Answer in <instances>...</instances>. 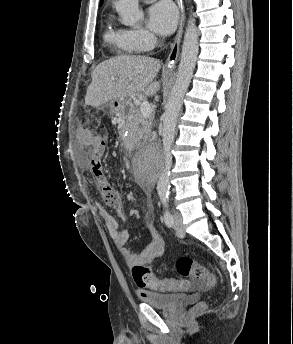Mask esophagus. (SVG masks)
I'll return each mask as SVG.
<instances>
[{
  "instance_id": "34e87169",
  "label": "esophagus",
  "mask_w": 293,
  "mask_h": 344,
  "mask_svg": "<svg viewBox=\"0 0 293 344\" xmlns=\"http://www.w3.org/2000/svg\"><path fill=\"white\" fill-rule=\"evenodd\" d=\"M176 2L178 5V12H179V26H178V30H177V34L175 36L174 42L171 46V51L166 61L167 67L174 66L178 61L180 41H181L182 31H183V21H184L183 2L182 0H176Z\"/></svg>"
}]
</instances>
